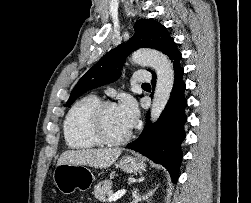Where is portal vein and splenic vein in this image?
<instances>
[{"mask_svg": "<svg viewBox=\"0 0 251 203\" xmlns=\"http://www.w3.org/2000/svg\"><path fill=\"white\" fill-rule=\"evenodd\" d=\"M126 193V190H120L118 192H116L115 194H112L111 196L108 197V201L112 202V201H116L118 199H120L122 196H124V194Z\"/></svg>", "mask_w": 251, "mask_h": 203, "instance_id": "1", "label": "portal vein and splenic vein"}]
</instances>
